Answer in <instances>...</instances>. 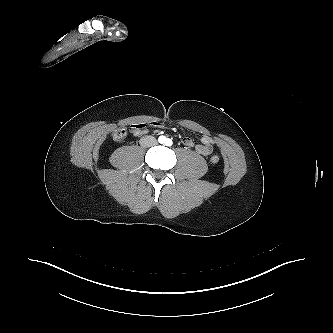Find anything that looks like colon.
Masks as SVG:
<instances>
[{"label": "colon", "mask_w": 333, "mask_h": 333, "mask_svg": "<svg viewBox=\"0 0 333 333\" xmlns=\"http://www.w3.org/2000/svg\"><path fill=\"white\" fill-rule=\"evenodd\" d=\"M127 131L125 128H119L113 133V139L116 141H122L125 139ZM220 160V157L217 154L211 156L210 161L212 164H217Z\"/></svg>", "instance_id": "5ec220e1"}]
</instances>
